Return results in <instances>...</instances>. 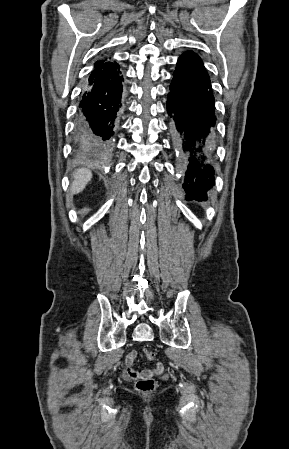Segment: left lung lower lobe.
Returning a JSON list of instances; mask_svg holds the SVG:
<instances>
[{
  "instance_id": "0a47b994",
  "label": "left lung lower lobe",
  "mask_w": 289,
  "mask_h": 449,
  "mask_svg": "<svg viewBox=\"0 0 289 449\" xmlns=\"http://www.w3.org/2000/svg\"><path fill=\"white\" fill-rule=\"evenodd\" d=\"M173 75L167 112L174 147L188 161L183 188L188 200L202 201L215 184V171L208 163L216 123L210 78L200 57L191 51L178 59Z\"/></svg>"
}]
</instances>
